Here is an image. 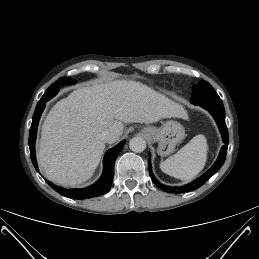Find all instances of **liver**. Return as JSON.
Segmentation results:
<instances>
[{"instance_id":"6515ba94","label":"liver","mask_w":259,"mask_h":259,"mask_svg":"<svg viewBox=\"0 0 259 259\" xmlns=\"http://www.w3.org/2000/svg\"><path fill=\"white\" fill-rule=\"evenodd\" d=\"M186 110L136 81L117 80L73 91L58 101L41 128L38 163L46 178L62 186L82 184L97 168L105 141L123 133L124 123L151 124L163 118H186Z\"/></svg>"}]
</instances>
